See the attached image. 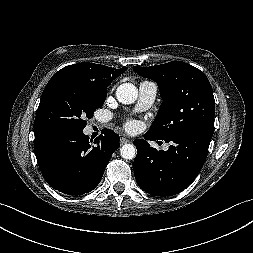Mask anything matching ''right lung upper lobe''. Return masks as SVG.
<instances>
[{
	"mask_svg": "<svg viewBox=\"0 0 253 253\" xmlns=\"http://www.w3.org/2000/svg\"><path fill=\"white\" fill-rule=\"evenodd\" d=\"M126 69V67L115 69L100 64L85 62L66 66L55 73L53 77L68 76L79 78L99 88L107 89L111 81L120 76Z\"/></svg>",
	"mask_w": 253,
	"mask_h": 253,
	"instance_id": "right-lung-upper-lobe-1",
	"label": "right lung upper lobe"
}]
</instances>
